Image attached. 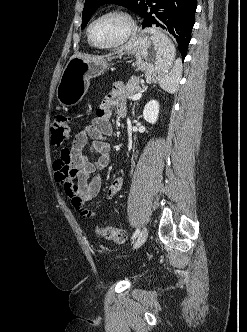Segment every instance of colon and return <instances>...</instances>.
<instances>
[{
    "label": "colon",
    "instance_id": "colon-1",
    "mask_svg": "<svg viewBox=\"0 0 247 332\" xmlns=\"http://www.w3.org/2000/svg\"><path fill=\"white\" fill-rule=\"evenodd\" d=\"M71 133V124L65 115H57L51 126L52 144L59 148L69 139ZM66 149V148H65ZM97 233L110 241L121 244L127 239V233L122 229H116L109 226L97 228Z\"/></svg>",
    "mask_w": 247,
    "mask_h": 332
}]
</instances>
